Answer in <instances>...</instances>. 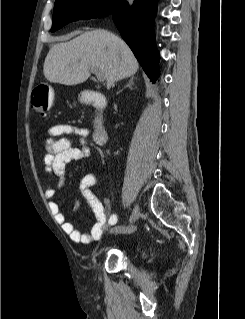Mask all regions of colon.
I'll return each mask as SVG.
<instances>
[{
  "label": "colon",
  "instance_id": "5ec220e1",
  "mask_svg": "<svg viewBox=\"0 0 245 319\" xmlns=\"http://www.w3.org/2000/svg\"><path fill=\"white\" fill-rule=\"evenodd\" d=\"M54 91L48 84L38 85L32 93V108L35 114L45 116L53 103Z\"/></svg>",
  "mask_w": 245,
  "mask_h": 319
}]
</instances>
